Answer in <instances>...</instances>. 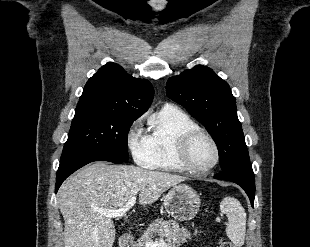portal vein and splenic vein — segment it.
Returning a JSON list of instances; mask_svg holds the SVG:
<instances>
[{
    "instance_id": "portal-vein-and-splenic-vein-1",
    "label": "portal vein and splenic vein",
    "mask_w": 310,
    "mask_h": 247,
    "mask_svg": "<svg viewBox=\"0 0 310 247\" xmlns=\"http://www.w3.org/2000/svg\"><path fill=\"white\" fill-rule=\"evenodd\" d=\"M135 202L136 196H133L123 207L117 210H98V212L108 218H120L134 206ZM145 247H167V245L164 241H149L146 243Z\"/></svg>"
}]
</instances>
